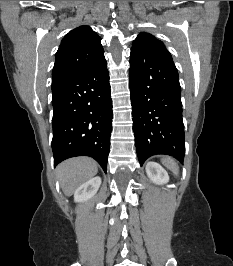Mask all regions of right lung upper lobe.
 I'll use <instances>...</instances> for the list:
<instances>
[{
    "instance_id": "cb5924a9",
    "label": "right lung upper lobe",
    "mask_w": 233,
    "mask_h": 266,
    "mask_svg": "<svg viewBox=\"0 0 233 266\" xmlns=\"http://www.w3.org/2000/svg\"><path fill=\"white\" fill-rule=\"evenodd\" d=\"M104 57L101 38L88 26L70 31L56 53L52 88L81 74Z\"/></svg>"
}]
</instances>
